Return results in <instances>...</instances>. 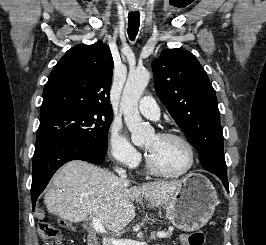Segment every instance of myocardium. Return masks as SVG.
Wrapping results in <instances>:
<instances>
[{"instance_id": "myocardium-1", "label": "myocardium", "mask_w": 266, "mask_h": 245, "mask_svg": "<svg viewBox=\"0 0 266 245\" xmlns=\"http://www.w3.org/2000/svg\"><path fill=\"white\" fill-rule=\"evenodd\" d=\"M157 136L166 138V139H175L178 141H181L188 149L189 152V162L187 167L179 174H165L160 171H158L154 165L152 164L149 156L146 157V165L147 169L150 172L151 175L157 177V178H163V179H182L184 178L194 167L195 161H196V152L195 148L192 145V143L183 135L173 132H161Z\"/></svg>"}]
</instances>
